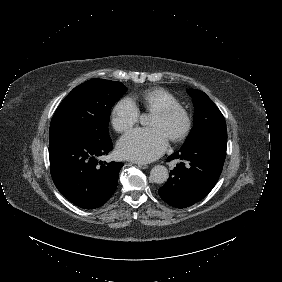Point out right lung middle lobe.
I'll list each match as a JSON object with an SVG mask.
<instances>
[{"mask_svg":"<svg viewBox=\"0 0 282 282\" xmlns=\"http://www.w3.org/2000/svg\"><path fill=\"white\" fill-rule=\"evenodd\" d=\"M127 91L121 82L91 79L75 87L57 108L49 141L74 131L108 138L110 110Z\"/></svg>","mask_w":282,"mask_h":282,"instance_id":"obj_1","label":"right lung middle lobe"}]
</instances>
